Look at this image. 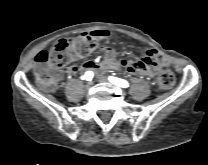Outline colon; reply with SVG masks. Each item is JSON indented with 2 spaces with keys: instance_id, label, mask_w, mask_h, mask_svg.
<instances>
[{
  "instance_id": "1",
  "label": "colon",
  "mask_w": 208,
  "mask_h": 165,
  "mask_svg": "<svg viewBox=\"0 0 208 165\" xmlns=\"http://www.w3.org/2000/svg\"><path fill=\"white\" fill-rule=\"evenodd\" d=\"M97 38L90 34H81L75 38L61 39L51 49L42 50L35 56V81L45 90H53L60 78L62 66L90 54L97 46ZM175 84V75L171 70H163L158 76V85L167 90Z\"/></svg>"
}]
</instances>
